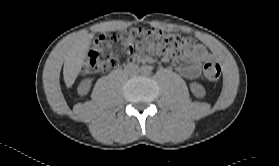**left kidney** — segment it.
<instances>
[{"mask_svg":"<svg viewBox=\"0 0 279 166\" xmlns=\"http://www.w3.org/2000/svg\"><path fill=\"white\" fill-rule=\"evenodd\" d=\"M189 86L194 96L199 98L205 96V88L201 84L194 82L191 83Z\"/></svg>","mask_w":279,"mask_h":166,"instance_id":"obj_1","label":"left kidney"}]
</instances>
